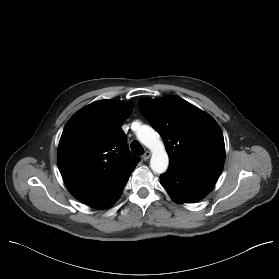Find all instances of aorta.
I'll return each instance as SVG.
<instances>
[{
  "mask_svg": "<svg viewBox=\"0 0 279 279\" xmlns=\"http://www.w3.org/2000/svg\"><path fill=\"white\" fill-rule=\"evenodd\" d=\"M136 136L152 152L150 159L151 170L157 174L166 172L169 158L158 133L150 126L140 125L136 130Z\"/></svg>",
  "mask_w": 279,
  "mask_h": 279,
  "instance_id": "762f6f07",
  "label": "aorta"
}]
</instances>
